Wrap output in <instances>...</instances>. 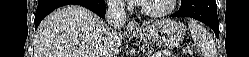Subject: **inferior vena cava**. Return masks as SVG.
I'll return each mask as SVG.
<instances>
[{
    "instance_id": "1",
    "label": "inferior vena cava",
    "mask_w": 249,
    "mask_h": 57,
    "mask_svg": "<svg viewBox=\"0 0 249 57\" xmlns=\"http://www.w3.org/2000/svg\"><path fill=\"white\" fill-rule=\"evenodd\" d=\"M106 19L110 28L105 32V39L114 45L118 34L115 30L121 29L126 23L124 4L120 0H110L107 3Z\"/></svg>"
}]
</instances>
